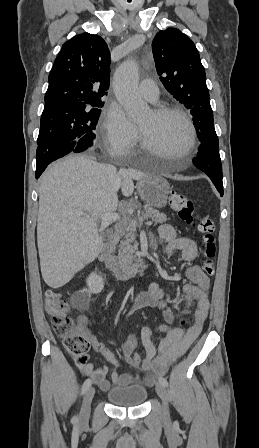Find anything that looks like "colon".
I'll return each instance as SVG.
<instances>
[{
    "instance_id": "obj_1",
    "label": "colon",
    "mask_w": 259,
    "mask_h": 448,
    "mask_svg": "<svg viewBox=\"0 0 259 448\" xmlns=\"http://www.w3.org/2000/svg\"><path fill=\"white\" fill-rule=\"evenodd\" d=\"M171 208L178 214L179 218L187 224L193 226L203 235L205 260L203 271L211 276L215 271V224L206 215L196 213L191 200L178 191H171L168 195ZM45 309L48 313L54 331L63 339L65 349L72 355L86 356L90 349V342L84 334L80 324H77L70 315V305L61 294L54 291H47L45 294ZM173 319L183 322L179 315H173ZM141 353H135L133 362L140 363L144 360Z\"/></svg>"
}]
</instances>
